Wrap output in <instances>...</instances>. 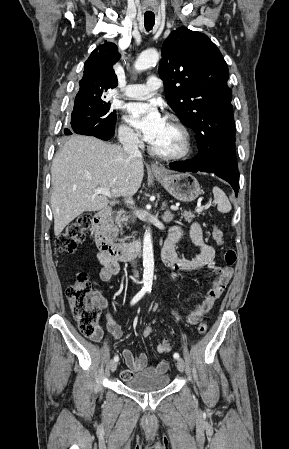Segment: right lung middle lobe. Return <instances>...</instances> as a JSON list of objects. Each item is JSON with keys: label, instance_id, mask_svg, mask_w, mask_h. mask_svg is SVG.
Wrapping results in <instances>:
<instances>
[{"label": "right lung middle lobe", "instance_id": "obj_1", "mask_svg": "<svg viewBox=\"0 0 289 449\" xmlns=\"http://www.w3.org/2000/svg\"><path fill=\"white\" fill-rule=\"evenodd\" d=\"M106 90L99 89L91 93H77L71 117V131L80 123H91L98 128L113 129L116 123V111L110 109V102L106 101ZM64 133L71 132L65 129Z\"/></svg>", "mask_w": 289, "mask_h": 449}]
</instances>
